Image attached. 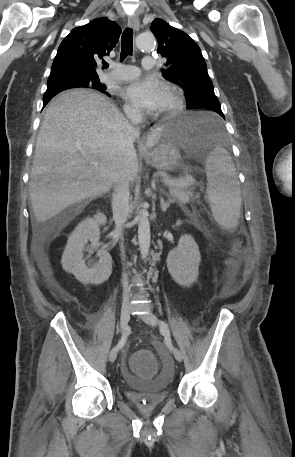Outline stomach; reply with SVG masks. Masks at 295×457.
<instances>
[{"label":"stomach","instance_id":"stomach-1","mask_svg":"<svg viewBox=\"0 0 295 457\" xmlns=\"http://www.w3.org/2000/svg\"><path fill=\"white\" fill-rule=\"evenodd\" d=\"M196 145L204 147L206 151L214 146L207 122L191 115L161 126L156 147L143 156L151 167L164 171L174 170L181 164L180 148L190 149Z\"/></svg>","mask_w":295,"mask_h":457}]
</instances>
